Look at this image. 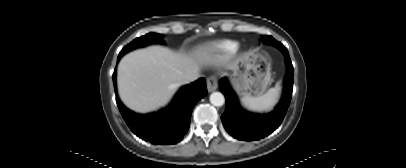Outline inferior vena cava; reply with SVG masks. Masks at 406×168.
Instances as JSON below:
<instances>
[{
    "label": "inferior vena cava",
    "mask_w": 406,
    "mask_h": 168,
    "mask_svg": "<svg viewBox=\"0 0 406 168\" xmlns=\"http://www.w3.org/2000/svg\"><path fill=\"white\" fill-rule=\"evenodd\" d=\"M198 77H199V72L197 70H194L192 72L185 73V74L181 75L180 83L181 84H187V83H190L192 81H195L196 79H198Z\"/></svg>",
    "instance_id": "inferior-vena-cava-1"
}]
</instances>
